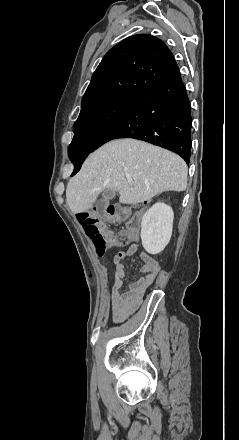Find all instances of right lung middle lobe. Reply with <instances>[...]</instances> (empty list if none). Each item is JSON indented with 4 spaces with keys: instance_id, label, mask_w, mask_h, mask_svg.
<instances>
[{
    "instance_id": "obj_1",
    "label": "right lung middle lobe",
    "mask_w": 239,
    "mask_h": 440,
    "mask_svg": "<svg viewBox=\"0 0 239 440\" xmlns=\"http://www.w3.org/2000/svg\"><path fill=\"white\" fill-rule=\"evenodd\" d=\"M135 97L116 96L81 110L74 124L71 152L91 150L98 137L111 126Z\"/></svg>"
}]
</instances>
